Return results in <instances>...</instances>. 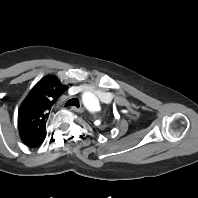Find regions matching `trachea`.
<instances>
[{
    "instance_id": "3493384b",
    "label": "trachea",
    "mask_w": 198,
    "mask_h": 198,
    "mask_svg": "<svg viewBox=\"0 0 198 198\" xmlns=\"http://www.w3.org/2000/svg\"><path fill=\"white\" fill-rule=\"evenodd\" d=\"M66 107L68 106H76L79 107V100L77 98H72L70 100H68L65 104Z\"/></svg>"
}]
</instances>
